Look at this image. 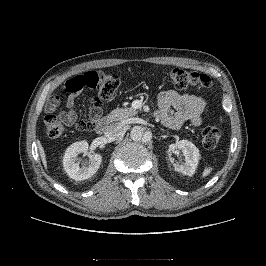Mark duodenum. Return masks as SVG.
<instances>
[{"mask_svg": "<svg viewBox=\"0 0 266 266\" xmlns=\"http://www.w3.org/2000/svg\"><path fill=\"white\" fill-rule=\"evenodd\" d=\"M108 127H109V120L106 118L99 119L98 121H96L94 125L95 132L99 135L104 134L108 130Z\"/></svg>", "mask_w": 266, "mask_h": 266, "instance_id": "obj_1", "label": "duodenum"}]
</instances>
